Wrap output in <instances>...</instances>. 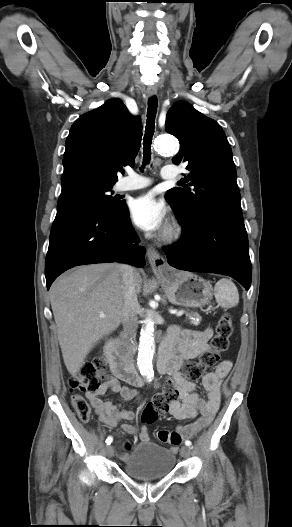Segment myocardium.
Returning <instances> with one entry per match:
<instances>
[{
	"label": "myocardium",
	"mask_w": 292,
	"mask_h": 527,
	"mask_svg": "<svg viewBox=\"0 0 292 527\" xmlns=\"http://www.w3.org/2000/svg\"><path fill=\"white\" fill-rule=\"evenodd\" d=\"M182 234V228L181 226L174 222L170 224L165 231L163 232L161 239L165 242H173L180 238Z\"/></svg>",
	"instance_id": "obj_1"
}]
</instances>
